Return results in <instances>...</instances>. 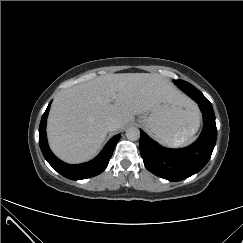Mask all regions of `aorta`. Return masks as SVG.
I'll return each instance as SVG.
<instances>
[{"mask_svg": "<svg viewBox=\"0 0 243 243\" xmlns=\"http://www.w3.org/2000/svg\"><path fill=\"white\" fill-rule=\"evenodd\" d=\"M125 134L130 141H136L140 138V130L137 127H129Z\"/></svg>", "mask_w": 243, "mask_h": 243, "instance_id": "aorta-1", "label": "aorta"}]
</instances>
